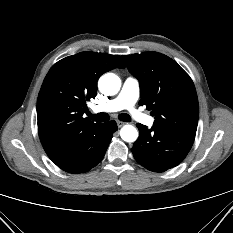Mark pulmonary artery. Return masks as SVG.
Here are the masks:
<instances>
[{"label": "pulmonary artery", "instance_id": "1", "mask_svg": "<svg viewBox=\"0 0 233 233\" xmlns=\"http://www.w3.org/2000/svg\"><path fill=\"white\" fill-rule=\"evenodd\" d=\"M139 80L134 77H127L122 85L120 93L103 105L96 106L95 112H117L123 109L128 110L131 118L144 125L152 126L155 119L135 108L139 97Z\"/></svg>", "mask_w": 233, "mask_h": 233}]
</instances>
